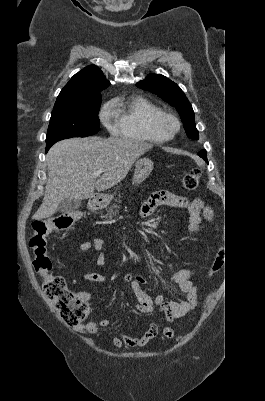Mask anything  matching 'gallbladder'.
Masks as SVG:
<instances>
[{"label": "gallbladder", "mask_w": 265, "mask_h": 401, "mask_svg": "<svg viewBox=\"0 0 265 401\" xmlns=\"http://www.w3.org/2000/svg\"><path fill=\"white\" fill-rule=\"evenodd\" d=\"M81 207V201H78V198H71V196H67L64 198V201H61L58 205V211L63 213V215H68V213H74L76 209Z\"/></svg>", "instance_id": "gallbladder-1"}]
</instances>
